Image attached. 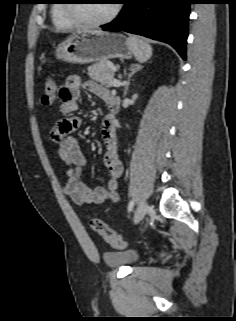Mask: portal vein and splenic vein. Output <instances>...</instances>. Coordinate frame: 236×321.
Masks as SVG:
<instances>
[{
    "mask_svg": "<svg viewBox=\"0 0 236 321\" xmlns=\"http://www.w3.org/2000/svg\"><path fill=\"white\" fill-rule=\"evenodd\" d=\"M113 84H114V86L119 87L121 85H124L125 83L124 82L122 83L117 79H113Z\"/></svg>",
    "mask_w": 236,
    "mask_h": 321,
    "instance_id": "18ae733b",
    "label": "portal vein and splenic vein"
}]
</instances>
